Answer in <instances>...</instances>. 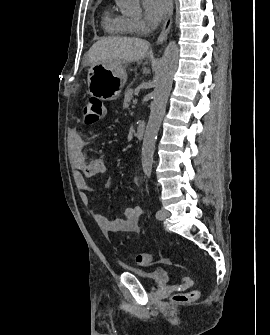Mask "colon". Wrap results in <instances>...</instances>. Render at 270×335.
I'll list each match as a JSON object with an SVG mask.
<instances>
[{"label":"colon","instance_id":"colon-1","mask_svg":"<svg viewBox=\"0 0 270 335\" xmlns=\"http://www.w3.org/2000/svg\"><path fill=\"white\" fill-rule=\"evenodd\" d=\"M105 114V106L101 99L92 96L88 98L87 105L83 110V118L87 125L98 123ZM152 256L149 252H139L133 255V261L137 265L147 266L151 263ZM198 295L197 289H192L174 296L176 302H188Z\"/></svg>","mask_w":270,"mask_h":335}]
</instances>
